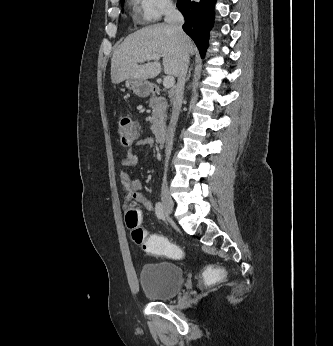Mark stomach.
<instances>
[{
	"instance_id": "stomach-1",
	"label": "stomach",
	"mask_w": 333,
	"mask_h": 346,
	"mask_svg": "<svg viewBox=\"0 0 333 346\" xmlns=\"http://www.w3.org/2000/svg\"><path fill=\"white\" fill-rule=\"evenodd\" d=\"M126 87L133 91L135 95L141 98H145L151 93V83L147 80L140 79H126Z\"/></svg>"
}]
</instances>
